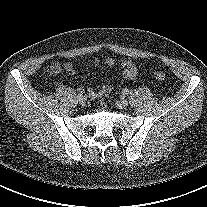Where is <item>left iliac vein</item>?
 I'll list each match as a JSON object with an SVG mask.
<instances>
[{
  "mask_svg": "<svg viewBox=\"0 0 207 207\" xmlns=\"http://www.w3.org/2000/svg\"><path fill=\"white\" fill-rule=\"evenodd\" d=\"M116 106H117V108H119V109H124V108H126V107L128 106V101H127V99H125V98H121V99L117 100V102H116Z\"/></svg>",
  "mask_w": 207,
  "mask_h": 207,
  "instance_id": "1",
  "label": "left iliac vein"
}]
</instances>
